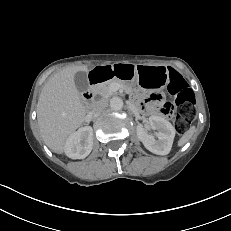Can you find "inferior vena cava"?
I'll return each mask as SVG.
<instances>
[{
	"label": "inferior vena cava",
	"mask_w": 231,
	"mask_h": 231,
	"mask_svg": "<svg viewBox=\"0 0 231 231\" xmlns=\"http://www.w3.org/2000/svg\"><path fill=\"white\" fill-rule=\"evenodd\" d=\"M106 108V103L103 101H99L95 104L92 110L93 115H98L100 114L104 109Z\"/></svg>",
	"instance_id": "602c4592"
}]
</instances>
